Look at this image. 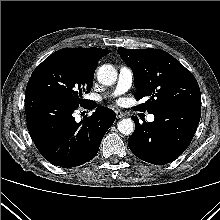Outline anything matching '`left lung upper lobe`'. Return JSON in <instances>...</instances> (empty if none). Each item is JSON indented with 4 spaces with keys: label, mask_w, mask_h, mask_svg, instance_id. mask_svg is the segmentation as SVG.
I'll use <instances>...</instances> for the list:
<instances>
[{
    "label": "left lung upper lobe",
    "mask_w": 220,
    "mask_h": 220,
    "mask_svg": "<svg viewBox=\"0 0 220 220\" xmlns=\"http://www.w3.org/2000/svg\"><path fill=\"white\" fill-rule=\"evenodd\" d=\"M118 53L133 71L135 98L148 97L137 110L153 113L164 106L201 102L199 85L193 74L167 52L118 48Z\"/></svg>",
    "instance_id": "1"
}]
</instances>
